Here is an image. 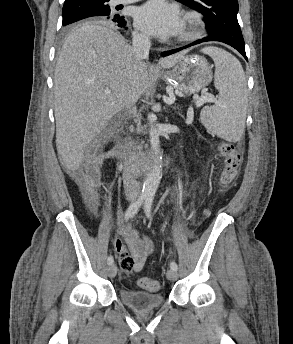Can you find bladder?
I'll return each instance as SVG.
<instances>
[{"label": "bladder", "mask_w": 293, "mask_h": 344, "mask_svg": "<svg viewBox=\"0 0 293 344\" xmlns=\"http://www.w3.org/2000/svg\"><path fill=\"white\" fill-rule=\"evenodd\" d=\"M119 295L124 304L137 311L156 309L164 303V295L158 292L151 293L121 287Z\"/></svg>", "instance_id": "obj_1"}]
</instances>
